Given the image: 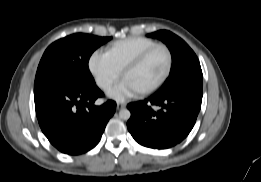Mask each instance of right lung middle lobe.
I'll return each mask as SVG.
<instances>
[{
	"instance_id": "dd1d6c3e",
	"label": "right lung middle lobe",
	"mask_w": 261,
	"mask_h": 182,
	"mask_svg": "<svg viewBox=\"0 0 261 182\" xmlns=\"http://www.w3.org/2000/svg\"><path fill=\"white\" fill-rule=\"evenodd\" d=\"M111 38L77 33L55 41L41 58L34 86L65 79L82 90L95 88L88 61L92 53Z\"/></svg>"
}]
</instances>
